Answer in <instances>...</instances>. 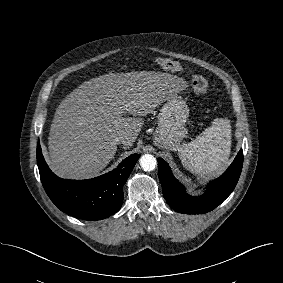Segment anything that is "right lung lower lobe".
I'll return each mask as SVG.
<instances>
[{
  "label": "right lung lower lobe",
  "mask_w": 283,
  "mask_h": 283,
  "mask_svg": "<svg viewBox=\"0 0 283 283\" xmlns=\"http://www.w3.org/2000/svg\"><path fill=\"white\" fill-rule=\"evenodd\" d=\"M139 157L132 154L113 171L93 179L69 180L49 169L37 144V164L47 195L61 211L88 221L104 219L120 209L123 186Z\"/></svg>",
  "instance_id": "obj_1"
}]
</instances>
